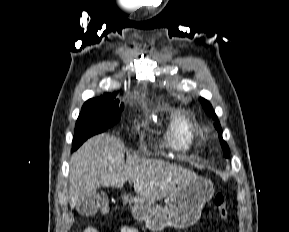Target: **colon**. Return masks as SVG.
Returning <instances> with one entry per match:
<instances>
[{
  "label": "colon",
  "mask_w": 289,
  "mask_h": 232,
  "mask_svg": "<svg viewBox=\"0 0 289 232\" xmlns=\"http://www.w3.org/2000/svg\"><path fill=\"white\" fill-rule=\"evenodd\" d=\"M214 205L223 219H228V211L226 207V198L222 193H218L214 196ZM100 211L103 214L109 212V205L106 199H103L100 207Z\"/></svg>",
  "instance_id": "obj_1"
}]
</instances>
